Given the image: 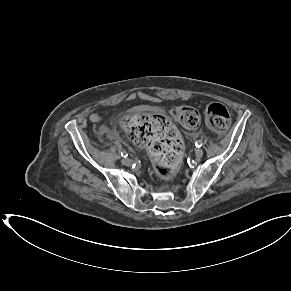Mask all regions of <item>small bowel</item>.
<instances>
[{
	"label": "small bowel",
	"instance_id": "obj_1",
	"mask_svg": "<svg viewBox=\"0 0 291 291\" xmlns=\"http://www.w3.org/2000/svg\"><path fill=\"white\" fill-rule=\"evenodd\" d=\"M137 97H143V96H141L139 93H137ZM89 120L93 123H99L101 121V117L97 113H91L89 115Z\"/></svg>",
	"mask_w": 291,
	"mask_h": 291
}]
</instances>
